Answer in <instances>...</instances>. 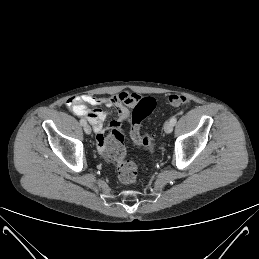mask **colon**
<instances>
[{
	"label": "colon",
	"instance_id": "5ec220e1",
	"mask_svg": "<svg viewBox=\"0 0 259 259\" xmlns=\"http://www.w3.org/2000/svg\"><path fill=\"white\" fill-rule=\"evenodd\" d=\"M168 104L173 107L189 103L188 97L182 94H173L168 97ZM155 100L152 97L140 98L132 112L131 138L140 146L150 147L153 144V135L143 134L140 131L143 120L153 111ZM104 154L116 166L118 179L124 184H134L137 180V165L126 158L124 135L121 127H113L105 139Z\"/></svg>",
	"mask_w": 259,
	"mask_h": 259
}]
</instances>
